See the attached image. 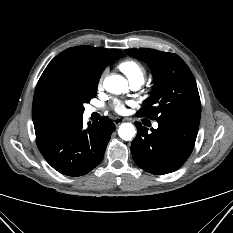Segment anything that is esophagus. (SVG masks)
<instances>
[{"label": "esophagus", "mask_w": 233, "mask_h": 233, "mask_svg": "<svg viewBox=\"0 0 233 233\" xmlns=\"http://www.w3.org/2000/svg\"><path fill=\"white\" fill-rule=\"evenodd\" d=\"M113 122L116 126L120 125L122 122H124V119L120 118V117H116L113 119Z\"/></svg>", "instance_id": "1"}]
</instances>
